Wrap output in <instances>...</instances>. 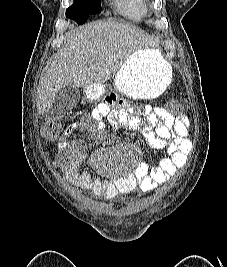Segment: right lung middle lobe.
<instances>
[{
    "label": "right lung middle lobe",
    "mask_w": 227,
    "mask_h": 267,
    "mask_svg": "<svg viewBox=\"0 0 227 267\" xmlns=\"http://www.w3.org/2000/svg\"><path fill=\"white\" fill-rule=\"evenodd\" d=\"M100 12V0H74V3L66 10V17L75 20L78 24H83L90 14Z\"/></svg>",
    "instance_id": "obj_1"
}]
</instances>
